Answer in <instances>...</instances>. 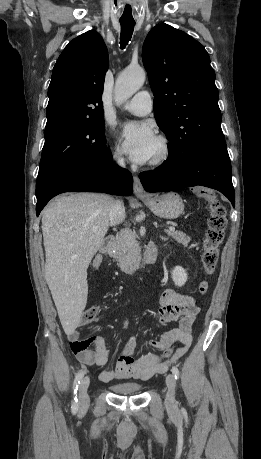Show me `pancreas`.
I'll return each instance as SVG.
<instances>
[{"label":"pancreas","instance_id":"1","mask_svg":"<svg viewBox=\"0 0 261 459\" xmlns=\"http://www.w3.org/2000/svg\"><path fill=\"white\" fill-rule=\"evenodd\" d=\"M165 232L183 246H188L191 240L189 236L181 231L168 229ZM113 249L115 250L113 257L116 258L118 266L123 270L130 267L137 260L140 252L136 235L128 230L121 231L116 235Z\"/></svg>","mask_w":261,"mask_h":459}]
</instances>
